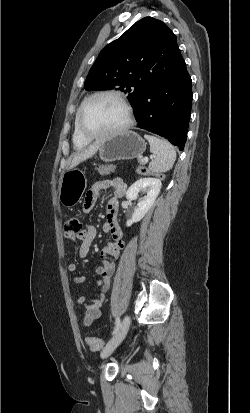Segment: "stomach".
Returning <instances> with one entry per match:
<instances>
[{"instance_id":"obj_1","label":"stomach","mask_w":250,"mask_h":413,"mask_svg":"<svg viewBox=\"0 0 250 413\" xmlns=\"http://www.w3.org/2000/svg\"><path fill=\"white\" fill-rule=\"evenodd\" d=\"M146 149L144 139L133 131H126L102 140L99 157L105 162L130 160L140 157ZM86 189V179L79 170H68L62 176L59 201L68 208L75 206Z\"/></svg>"}]
</instances>
